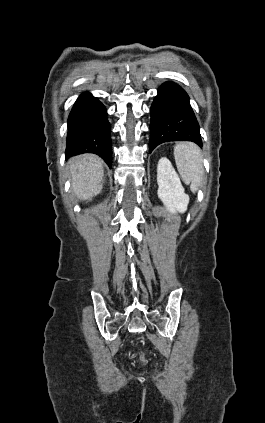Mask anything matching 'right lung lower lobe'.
Masks as SVG:
<instances>
[{
    "mask_svg": "<svg viewBox=\"0 0 265 423\" xmlns=\"http://www.w3.org/2000/svg\"><path fill=\"white\" fill-rule=\"evenodd\" d=\"M95 153L112 166L110 124L103 104L90 93H83L68 117L66 157Z\"/></svg>",
    "mask_w": 265,
    "mask_h": 423,
    "instance_id": "obj_1",
    "label": "right lung lower lobe"
}]
</instances>
